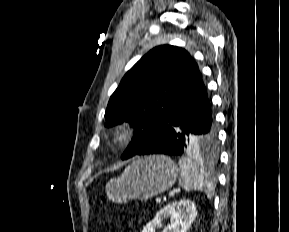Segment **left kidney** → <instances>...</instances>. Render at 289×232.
I'll list each match as a JSON object with an SVG mask.
<instances>
[{"label":"left kidney","instance_id":"1","mask_svg":"<svg viewBox=\"0 0 289 232\" xmlns=\"http://www.w3.org/2000/svg\"><path fill=\"white\" fill-rule=\"evenodd\" d=\"M197 216L196 206L192 201L180 200L166 205L142 230L155 232L161 226L163 219L170 217L171 223L163 232H187Z\"/></svg>","mask_w":289,"mask_h":232}]
</instances>
